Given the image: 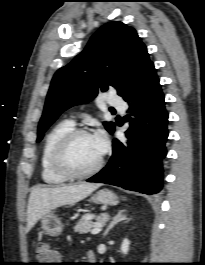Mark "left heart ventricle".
I'll use <instances>...</instances> for the list:
<instances>
[{
	"label": "left heart ventricle",
	"instance_id": "b2bd125f",
	"mask_svg": "<svg viewBox=\"0 0 205 265\" xmlns=\"http://www.w3.org/2000/svg\"><path fill=\"white\" fill-rule=\"evenodd\" d=\"M100 156L93 136H81L70 145L66 163L75 172H85L98 162Z\"/></svg>",
	"mask_w": 205,
	"mask_h": 265
}]
</instances>
